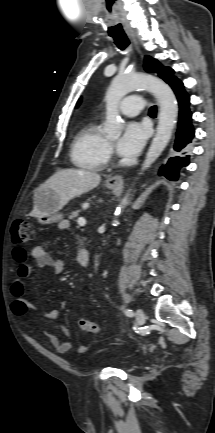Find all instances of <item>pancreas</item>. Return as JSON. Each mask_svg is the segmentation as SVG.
<instances>
[{"instance_id": "obj_1", "label": "pancreas", "mask_w": 215, "mask_h": 433, "mask_svg": "<svg viewBox=\"0 0 215 433\" xmlns=\"http://www.w3.org/2000/svg\"><path fill=\"white\" fill-rule=\"evenodd\" d=\"M79 212H80L79 210L72 212L68 218L70 220H74L79 215Z\"/></svg>"}]
</instances>
